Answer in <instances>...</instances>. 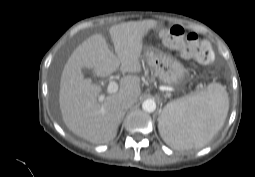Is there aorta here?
Segmentation results:
<instances>
[{
	"mask_svg": "<svg viewBox=\"0 0 255 177\" xmlns=\"http://www.w3.org/2000/svg\"><path fill=\"white\" fill-rule=\"evenodd\" d=\"M142 108L144 111L152 113L156 109V103L152 99H147L142 103Z\"/></svg>",
	"mask_w": 255,
	"mask_h": 177,
	"instance_id": "762f6f07",
	"label": "aorta"
}]
</instances>
